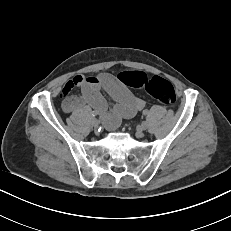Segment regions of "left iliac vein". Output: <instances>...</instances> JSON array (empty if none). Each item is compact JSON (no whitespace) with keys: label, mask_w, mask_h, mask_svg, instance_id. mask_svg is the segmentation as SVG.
I'll list each match as a JSON object with an SVG mask.
<instances>
[{"label":"left iliac vein","mask_w":231,"mask_h":231,"mask_svg":"<svg viewBox=\"0 0 231 231\" xmlns=\"http://www.w3.org/2000/svg\"><path fill=\"white\" fill-rule=\"evenodd\" d=\"M147 128H148V122L143 121V122L141 123L140 129H141L142 131H145V130H147Z\"/></svg>","instance_id":"obj_1"}]
</instances>
